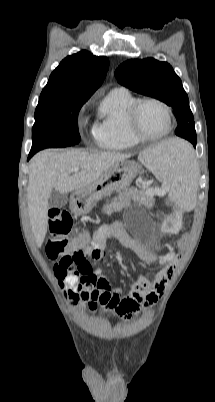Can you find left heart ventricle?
Wrapping results in <instances>:
<instances>
[{
  "mask_svg": "<svg viewBox=\"0 0 215 402\" xmlns=\"http://www.w3.org/2000/svg\"><path fill=\"white\" fill-rule=\"evenodd\" d=\"M139 125L143 132L149 135H159L166 131L168 118L160 106L146 103L139 112Z\"/></svg>",
  "mask_w": 215,
  "mask_h": 402,
  "instance_id": "left-heart-ventricle-1",
  "label": "left heart ventricle"
}]
</instances>
